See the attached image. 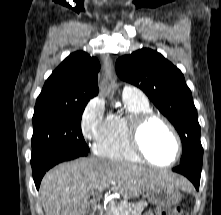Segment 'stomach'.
<instances>
[{
	"instance_id": "0dacf381",
	"label": "stomach",
	"mask_w": 221,
	"mask_h": 215,
	"mask_svg": "<svg viewBox=\"0 0 221 215\" xmlns=\"http://www.w3.org/2000/svg\"><path fill=\"white\" fill-rule=\"evenodd\" d=\"M146 198L154 205L170 207L178 204L182 195L175 186L159 185L146 191Z\"/></svg>"
}]
</instances>
